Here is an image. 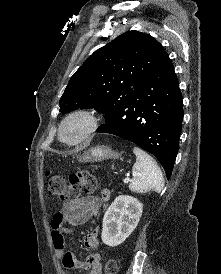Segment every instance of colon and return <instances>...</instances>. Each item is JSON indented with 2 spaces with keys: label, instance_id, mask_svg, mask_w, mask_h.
<instances>
[{
  "label": "colon",
  "instance_id": "obj_1",
  "mask_svg": "<svg viewBox=\"0 0 221 274\" xmlns=\"http://www.w3.org/2000/svg\"><path fill=\"white\" fill-rule=\"evenodd\" d=\"M49 192L65 203L74 201L82 192L92 193L96 188V179L88 173L71 174L68 177L60 174H49L47 178ZM104 274H117L115 260H107Z\"/></svg>",
  "mask_w": 221,
  "mask_h": 274
}]
</instances>
